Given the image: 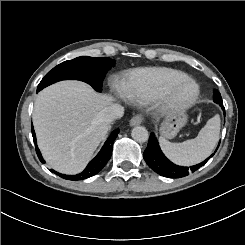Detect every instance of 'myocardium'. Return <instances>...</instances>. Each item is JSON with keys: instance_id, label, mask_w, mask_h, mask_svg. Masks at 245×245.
<instances>
[{"instance_id": "obj_1", "label": "myocardium", "mask_w": 245, "mask_h": 245, "mask_svg": "<svg viewBox=\"0 0 245 245\" xmlns=\"http://www.w3.org/2000/svg\"><path fill=\"white\" fill-rule=\"evenodd\" d=\"M186 84H191L194 87L193 95L186 100H180L175 98V90ZM199 92L200 91L198 84L190 78H185L179 81L168 83L165 86H163L155 93L154 99L157 105H159L163 111L169 113H176L182 112L190 106H192L197 100Z\"/></svg>"}]
</instances>
